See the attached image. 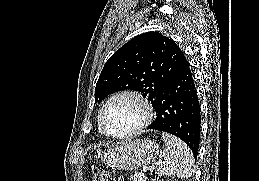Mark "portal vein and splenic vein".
Instances as JSON below:
<instances>
[{"instance_id": "obj_1", "label": "portal vein and splenic vein", "mask_w": 259, "mask_h": 181, "mask_svg": "<svg viewBox=\"0 0 259 181\" xmlns=\"http://www.w3.org/2000/svg\"><path fill=\"white\" fill-rule=\"evenodd\" d=\"M143 171H144V172H147V171H148V168H147V167H143Z\"/></svg>"}]
</instances>
